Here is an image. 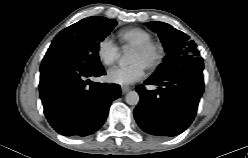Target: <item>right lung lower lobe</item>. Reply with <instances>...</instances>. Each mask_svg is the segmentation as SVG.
I'll return each instance as SVG.
<instances>
[{"label": "right lung lower lobe", "mask_w": 248, "mask_h": 158, "mask_svg": "<svg viewBox=\"0 0 248 158\" xmlns=\"http://www.w3.org/2000/svg\"><path fill=\"white\" fill-rule=\"evenodd\" d=\"M40 97L51 126L65 136H86L106 120L110 104L120 97V86L91 82L105 74L100 61L44 57L40 68Z\"/></svg>", "instance_id": "1"}]
</instances>
